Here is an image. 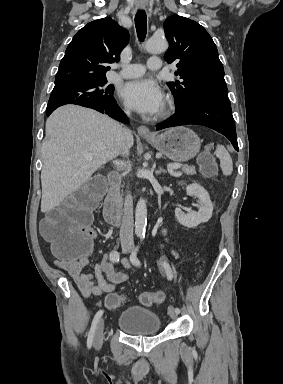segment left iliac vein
Listing matches in <instances>:
<instances>
[{"label": "left iliac vein", "mask_w": 283, "mask_h": 384, "mask_svg": "<svg viewBox=\"0 0 283 384\" xmlns=\"http://www.w3.org/2000/svg\"><path fill=\"white\" fill-rule=\"evenodd\" d=\"M168 314H169V316H170L173 320H175V319L177 318V316H178V314L176 313L175 309H174L172 306H169V308H168Z\"/></svg>", "instance_id": "left-iliac-vein-1"}]
</instances>
